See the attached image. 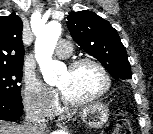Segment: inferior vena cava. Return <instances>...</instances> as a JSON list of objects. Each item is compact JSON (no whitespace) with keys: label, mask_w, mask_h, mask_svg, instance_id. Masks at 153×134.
<instances>
[{"label":"inferior vena cava","mask_w":153,"mask_h":134,"mask_svg":"<svg viewBox=\"0 0 153 134\" xmlns=\"http://www.w3.org/2000/svg\"><path fill=\"white\" fill-rule=\"evenodd\" d=\"M26 134H43L46 129V120L35 110L26 108Z\"/></svg>","instance_id":"602c4592"}]
</instances>
